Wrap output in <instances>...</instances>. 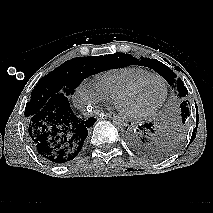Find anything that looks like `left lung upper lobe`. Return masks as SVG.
I'll return each instance as SVG.
<instances>
[{"instance_id": "obj_1", "label": "left lung upper lobe", "mask_w": 213, "mask_h": 213, "mask_svg": "<svg viewBox=\"0 0 213 213\" xmlns=\"http://www.w3.org/2000/svg\"><path fill=\"white\" fill-rule=\"evenodd\" d=\"M122 56L125 58L126 63H124V66L128 65H139V66H145L150 67L154 71H156L158 74H160L170 85L173 89L176 90L177 96L182 99V103L180 105L181 108V124L185 125L187 122V118L189 117V101L185 100L184 98L188 94L187 88L184 86L182 80L180 78H177L176 74L169 69L166 65L161 63L160 61L156 59H149V58H143L140 59L134 58L130 54H122ZM180 133H168L164 135L163 139L160 142L159 145V154L161 156L169 155L172 151H174L179 143H180Z\"/></svg>"}]
</instances>
